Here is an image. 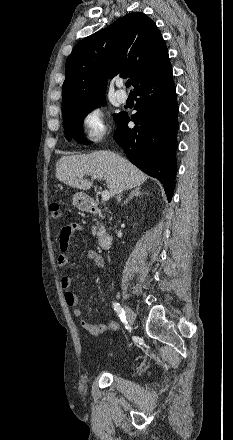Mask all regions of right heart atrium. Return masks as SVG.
Listing matches in <instances>:
<instances>
[{
    "label": "right heart atrium",
    "instance_id": "d8ad5b80",
    "mask_svg": "<svg viewBox=\"0 0 233 440\" xmlns=\"http://www.w3.org/2000/svg\"><path fill=\"white\" fill-rule=\"evenodd\" d=\"M81 128L87 141L92 143L101 141L108 130L104 111L96 105L86 109L81 117Z\"/></svg>",
    "mask_w": 233,
    "mask_h": 440
}]
</instances>
